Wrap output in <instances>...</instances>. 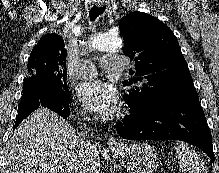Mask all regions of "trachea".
Masks as SVG:
<instances>
[{
    "label": "trachea",
    "instance_id": "3493384b",
    "mask_svg": "<svg viewBox=\"0 0 219 173\" xmlns=\"http://www.w3.org/2000/svg\"><path fill=\"white\" fill-rule=\"evenodd\" d=\"M105 11V6L102 7H96L93 6L91 10L89 11V17L91 21H94L100 14H102Z\"/></svg>",
    "mask_w": 219,
    "mask_h": 173
}]
</instances>
